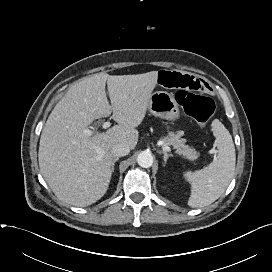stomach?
Wrapping results in <instances>:
<instances>
[{
  "instance_id": "stomach-1",
  "label": "stomach",
  "mask_w": 272,
  "mask_h": 272,
  "mask_svg": "<svg viewBox=\"0 0 272 272\" xmlns=\"http://www.w3.org/2000/svg\"><path fill=\"white\" fill-rule=\"evenodd\" d=\"M148 109L154 116L166 120H176L180 116L179 107L175 98L166 91L152 93Z\"/></svg>"
}]
</instances>
